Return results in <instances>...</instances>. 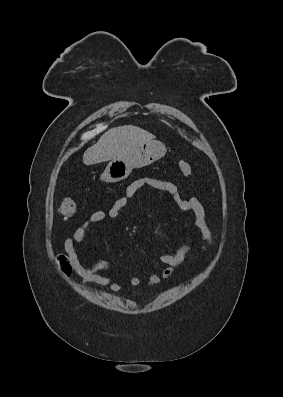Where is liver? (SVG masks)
Here are the masks:
<instances>
[{
	"mask_svg": "<svg viewBox=\"0 0 283 397\" xmlns=\"http://www.w3.org/2000/svg\"><path fill=\"white\" fill-rule=\"evenodd\" d=\"M154 139L153 134L133 125L111 128L99 138L96 144L85 151L83 162L86 165H93L121 159L140 145L155 141Z\"/></svg>",
	"mask_w": 283,
	"mask_h": 397,
	"instance_id": "1",
	"label": "liver"
}]
</instances>
